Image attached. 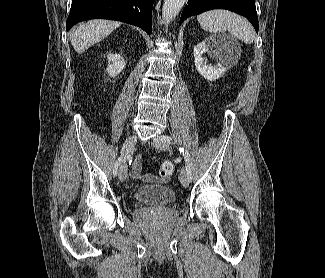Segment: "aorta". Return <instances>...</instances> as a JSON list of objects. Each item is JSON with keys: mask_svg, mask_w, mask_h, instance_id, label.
Masks as SVG:
<instances>
[{"mask_svg": "<svg viewBox=\"0 0 325 278\" xmlns=\"http://www.w3.org/2000/svg\"><path fill=\"white\" fill-rule=\"evenodd\" d=\"M185 2L186 0H164L162 17L167 22L173 20L178 15Z\"/></svg>", "mask_w": 325, "mask_h": 278, "instance_id": "obj_1", "label": "aorta"}]
</instances>
